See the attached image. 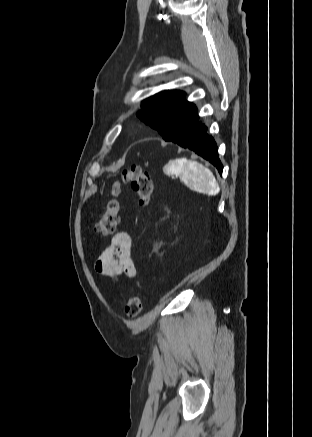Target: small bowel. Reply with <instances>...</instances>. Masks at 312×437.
I'll list each match as a JSON object with an SVG mask.
<instances>
[{
	"label": "small bowel",
	"mask_w": 312,
	"mask_h": 437,
	"mask_svg": "<svg viewBox=\"0 0 312 437\" xmlns=\"http://www.w3.org/2000/svg\"><path fill=\"white\" fill-rule=\"evenodd\" d=\"M95 270L102 275L118 277L126 275L136 276V269L132 259L131 238L125 231L117 232L110 244L103 250L95 263Z\"/></svg>",
	"instance_id": "obj_1"
}]
</instances>
